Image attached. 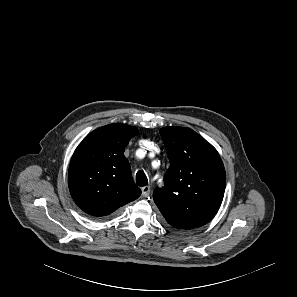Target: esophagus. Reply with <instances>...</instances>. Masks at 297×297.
<instances>
[{
  "label": "esophagus",
  "mask_w": 297,
  "mask_h": 297,
  "mask_svg": "<svg viewBox=\"0 0 297 297\" xmlns=\"http://www.w3.org/2000/svg\"><path fill=\"white\" fill-rule=\"evenodd\" d=\"M141 190H142V196L143 197H148L149 196V194H150V186H143L141 188Z\"/></svg>",
  "instance_id": "34e87169"
}]
</instances>
